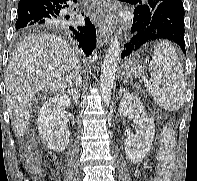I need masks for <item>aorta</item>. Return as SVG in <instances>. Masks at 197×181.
Listing matches in <instances>:
<instances>
[{
  "label": "aorta",
  "instance_id": "762f6f07",
  "mask_svg": "<svg viewBox=\"0 0 197 181\" xmlns=\"http://www.w3.org/2000/svg\"><path fill=\"white\" fill-rule=\"evenodd\" d=\"M121 55L120 43L115 37L109 46L101 67L100 90L104 104L109 105L112 94V86Z\"/></svg>",
  "mask_w": 197,
  "mask_h": 181
}]
</instances>
